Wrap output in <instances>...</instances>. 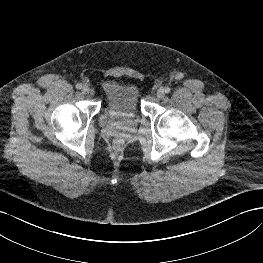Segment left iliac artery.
Wrapping results in <instances>:
<instances>
[{"label": "left iliac artery", "mask_w": 263, "mask_h": 263, "mask_svg": "<svg viewBox=\"0 0 263 263\" xmlns=\"http://www.w3.org/2000/svg\"><path fill=\"white\" fill-rule=\"evenodd\" d=\"M170 90H171V89H170L169 87H166V88H165V93H169Z\"/></svg>", "instance_id": "obj_1"}]
</instances>
